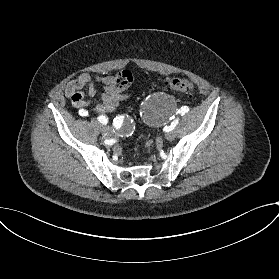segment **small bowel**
Wrapping results in <instances>:
<instances>
[{
    "instance_id": "c3829d8e",
    "label": "small bowel",
    "mask_w": 279,
    "mask_h": 279,
    "mask_svg": "<svg viewBox=\"0 0 279 279\" xmlns=\"http://www.w3.org/2000/svg\"><path fill=\"white\" fill-rule=\"evenodd\" d=\"M132 81L133 76L129 70H122L116 75L107 76L82 73L68 83L65 94L73 106L79 109L83 116H87L86 108L90 105V99L97 96L96 85L101 84L103 89L100 93V102L94 106V110L98 114H106L116 110L122 101L131 96L127 89Z\"/></svg>"
}]
</instances>
